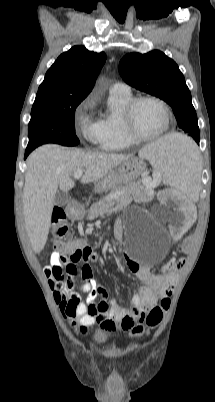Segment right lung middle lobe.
I'll return each mask as SVG.
<instances>
[{
	"mask_svg": "<svg viewBox=\"0 0 215 402\" xmlns=\"http://www.w3.org/2000/svg\"><path fill=\"white\" fill-rule=\"evenodd\" d=\"M84 98L36 95L28 126L29 143L33 150L45 143L76 146L79 140L74 130V113Z\"/></svg>",
	"mask_w": 215,
	"mask_h": 402,
	"instance_id": "right-lung-middle-lobe-1",
	"label": "right lung middle lobe"
}]
</instances>
